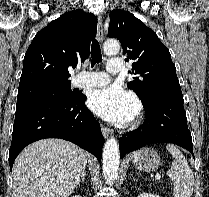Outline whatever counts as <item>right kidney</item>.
<instances>
[{
  "mask_svg": "<svg viewBox=\"0 0 209 197\" xmlns=\"http://www.w3.org/2000/svg\"><path fill=\"white\" fill-rule=\"evenodd\" d=\"M72 197H81V196H79V195H75V196H72Z\"/></svg>",
  "mask_w": 209,
  "mask_h": 197,
  "instance_id": "ca27d5eb",
  "label": "right kidney"
}]
</instances>
